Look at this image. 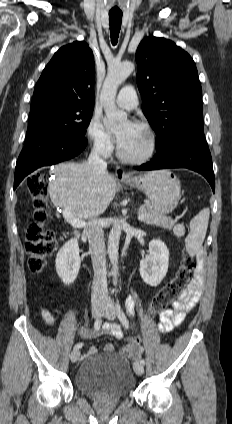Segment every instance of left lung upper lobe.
Listing matches in <instances>:
<instances>
[{
	"instance_id": "obj_1",
	"label": "left lung upper lobe",
	"mask_w": 232,
	"mask_h": 424,
	"mask_svg": "<svg viewBox=\"0 0 232 424\" xmlns=\"http://www.w3.org/2000/svg\"><path fill=\"white\" fill-rule=\"evenodd\" d=\"M137 84L142 110L158 141L178 128L202 122V89L190 55L162 37H146L136 51Z\"/></svg>"
}]
</instances>
